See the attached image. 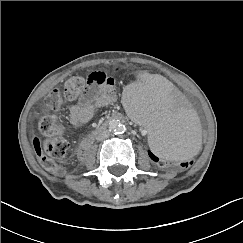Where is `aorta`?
I'll return each mask as SVG.
<instances>
[{"mask_svg":"<svg viewBox=\"0 0 243 243\" xmlns=\"http://www.w3.org/2000/svg\"><path fill=\"white\" fill-rule=\"evenodd\" d=\"M110 129L114 134H122L126 131V126L120 120H113Z\"/></svg>","mask_w":243,"mask_h":243,"instance_id":"aorta-1","label":"aorta"}]
</instances>
